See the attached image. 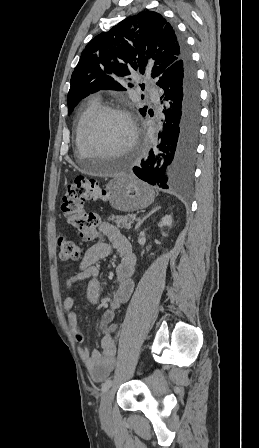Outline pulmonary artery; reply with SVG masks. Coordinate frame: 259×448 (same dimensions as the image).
I'll return each instance as SVG.
<instances>
[{
    "mask_svg": "<svg viewBox=\"0 0 259 448\" xmlns=\"http://www.w3.org/2000/svg\"><path fill=\"white\" fill-rule=\"evenodd\" d=\"M150 99L153 101V102H158L159 101V96L158 95H156V96H151L150 97Z\"/></svg>",
    "mask_w": 259,
    "mask_h": 448,
    "instance_id": "1",
    "label": "pulmonary artery"
}]
</instances>
